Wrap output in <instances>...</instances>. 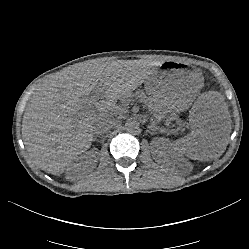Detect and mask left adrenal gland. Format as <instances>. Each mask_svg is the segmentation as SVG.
Returning <instances> with one entry per match:
<instances>
[{"mask_svg": "<svg viewBox=\"0 0 249 249\" xmlns=\"http://www.w3.org/2000/svg\"><path fill=\"white\" fill-rule=\"evenodd\" d=\"M146 131L149 132V133H158L159 132V131L155 130V126H148L146 128Z\"/></svg>", "mask_w": 249, "mask_h": 249, "instance_id": "left-adrenal-gland-1", "label": "left adrenal gland"}]
</instances>
